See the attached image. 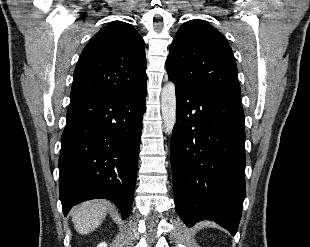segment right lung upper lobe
Wrapping results in <instances>:
<instances>
[{"label":"right lung upper lobe","mask_w":310,"mask_h":247,"mask_svg":"<svg viewBox=\"0 0 310 247\" xmlns=\"http://www.w3.org/2000/svg\"><path fill=\"white\" fill-rule=\"evenodd\" d=\"M144 41L133 26L114 21L83 49L74 71L71 101L138 91L146 86Z\"/></svg>","instance_id":"obj_1"}]
</instances>
